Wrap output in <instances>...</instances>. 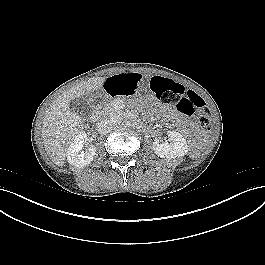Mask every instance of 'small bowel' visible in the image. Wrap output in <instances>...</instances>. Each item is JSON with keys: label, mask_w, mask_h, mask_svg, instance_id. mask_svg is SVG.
<instances>
[{"label": "small bowel", "mask_w": 265, "mask_h": 265, "mask_svg": "<svg viewBox=\"0 0 265 265\" xmlns=\"http://www.w3.org/2000/svg\"><path fill=\"white\" fill-rule=\"evenodd\" d=\"M143 79L139 73L133 72L130 74H120L109 77L105 81L107 91L112 95L123 94L130 97L136 93L137 88L142 85ZM161 112L171 118H175L177 113L173 109L160 107Z\"/></svg>", "instance_id": "1"}]
</instances>
